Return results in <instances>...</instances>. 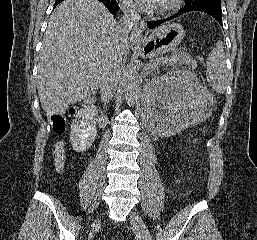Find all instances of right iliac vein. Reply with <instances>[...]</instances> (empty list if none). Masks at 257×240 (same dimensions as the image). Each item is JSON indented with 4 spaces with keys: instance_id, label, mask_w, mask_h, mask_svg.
Listing matches in <instances>:
<instances>
[{
    "instance_id": "obj_1",
    "label": "right iliac vein",
    "mask_w": 257,
    "mask_h": 240,
    "mask_svg": "<svg viewBox=\"0 0 257 240\" xmlns=\"http://www.w3.org/2000/svg\"><path fill=\"white\" fill-rule=\"evenodd\" d=\"M100 223V218H96L95 221H94V225H98Z\"/></svg>"
}]
</instances>
